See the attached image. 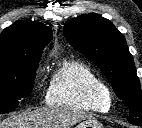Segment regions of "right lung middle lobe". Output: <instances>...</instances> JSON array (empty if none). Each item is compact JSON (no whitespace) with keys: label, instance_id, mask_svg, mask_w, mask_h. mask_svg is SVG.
Segmentation results:
<instances>
[{"label":"right lung middle lobe","instance_id":"dd1d6c3e","mask_svg":"<svg viewBox=\"0 0 142 128\" xmlns=\"http://www.w3.org/2000/svg\"><path fill=\"white\" fill-rule=\"evenodd\" d=\"M39 61L28 63L14 75H0V114L14 110L18 100L32 91Z\"/></svg>","mask_w":142,"mask_h":128}]
</instances>
